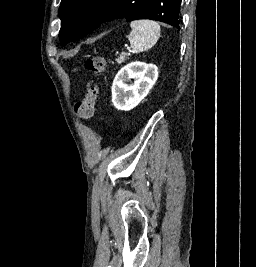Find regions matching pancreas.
<instances>
[{
    "instance_id": "cf45deb5",
    "label": "pancreas",
    "mask_w": 256,
    "mask_h": 267,
    "mask_svg": "<svg viewBox=\"0 0 256 267\" xmlns=\"http://www.w3.org/2000/svg\"><path fill=\"white\" fill-rule=\"evenodd\" d=\"M126 54H120L119 58H117L116 62L118 64H122V62H125Z\"/></svg>"
}]
</instances>
